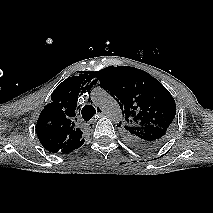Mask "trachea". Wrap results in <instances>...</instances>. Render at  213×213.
<instances>
[{
  "label": "trachea",
  "instance_id": "obj_1",
  "mask_svg": "<svg viewBox=\"0 0 213 213\" xmlns=\"http://www.w3.org/2000/svg\"><path fill=\"white\" fill-rule=\"evenodd\" d=\"M96 113V110L91 105H86L82 108L81 114L85 121H89Z\"/></svg>",
  "mask_w": 213,
  "mask_h": 213
}]
</instances>
